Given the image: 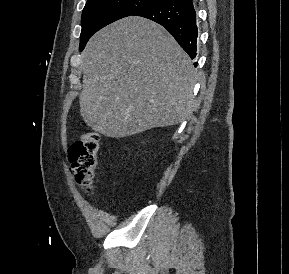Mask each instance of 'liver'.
<instances>
[{
  "instance_id": "1",
  "label": "liver",
  "mask_w": 289,
  "mask_h": 274,
  "mask_svg": "<svg viewBox=\"0 0 289 274\" xmlns=\"http://www.w3.org/2000/svg\"><path fill=\"white\" fill-rule=\"evenodd\" d=\"M81 60L80 113L106 137L176 125L191 112L193 63L155 22L130 16L104 27L89 40Z\"/></svg>"
}]
</instances>
